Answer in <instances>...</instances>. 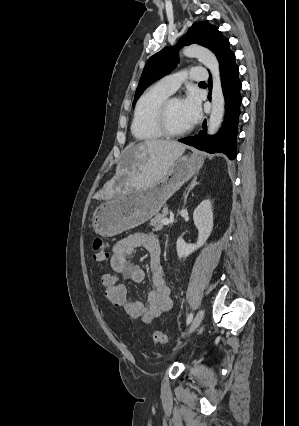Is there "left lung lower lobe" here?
<instances>
[{
  "mask_svg": "<svg viewBox=\"0 0 299 426\" xmlns=\"http://www.w3.org/2000/svg\"><path fill=\"white\" fill-rule=\"evenodd\" d=\"M218 61L220 64L222 89L226 102L225 120L222 128L217 135L210 137L206 135L205 120L204 131H200L194 136L179 139L178 141L208 153H223L230 160H233L237 154V125L242 101L240 95L241 82L238 78L239 70L235 63V55L230 49L225 50L218 58ZM208 86L211 89V78L208 81ZM208 99L211 100L210 95Z\"/></svg>",
  "mask_w": 299,
  "mask_h": 426,
  "instance_id": "0a47b994",
  "label": "left lung lower lobe"
}]
</instances>
